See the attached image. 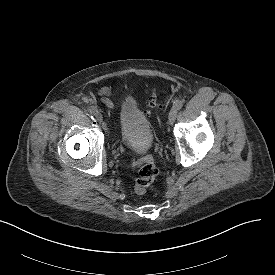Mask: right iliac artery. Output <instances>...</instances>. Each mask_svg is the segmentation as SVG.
Segmentation results:
<instances>
[{
	"label": "right iliac artery",
	"mask_w": 275,
	"mask_h": 275,
	"mask_svg": "<svg viewBox=\"0 0 275 275\" xmlns=\"http://www.w3.org/2000/svg\"><path fill=\"white\" fill-rule=\"evenodd\" d=\"M96 110H97V109H96L95 106H90V107L88 108V111H89L91 114H94Z\"/></svg>",
	"instance_id": "right-iliac-artery-1"
}]
</instances>
